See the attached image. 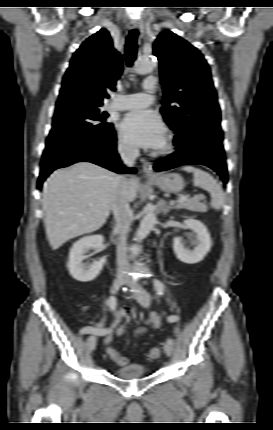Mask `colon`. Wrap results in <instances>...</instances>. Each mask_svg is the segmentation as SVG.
<instances>
[{
    "label": "colon",
    "instance_id": "obj_1",
    "mask_svg": "<svg viewBox=\"0 0 273 430\" xmlns=\"http://www.w3.org/2000/svg\"><path fill=\"white\" fill-rule=\"evenodd\" d=\"M110 358L119 366H124L127 364L128 360L126 357L121 356L114 348L108 349L107 351ZM161 355V346L157 345L155 347H152L148 351V358L149 359H157Z\"/></svg>",
    "mask_w": 273,
    "mask_h": 430
}]
</instances>
